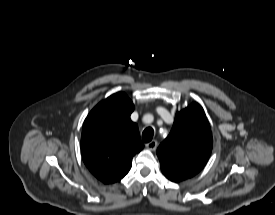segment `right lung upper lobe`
Masks as SVG:
<instances>
[{
    "instance_id": "right-lung-upper-lobe-1",
    "label": "right lung upper lobe",
    "mask_w": 275,
    "mask_h": 215,
    "mask_svg": "<svg viewBox=\"0 0 275 215\" xmlns=\"http://www.w3.org/2000/svg\"><path fill=\"white\" fill-rule=\"evenodd\" d=\"M133 110V102L118 92L94 107L84 121L82 158L105 184L120 181L130 170L133 156L144 147L138 126L130 119Z\"/></svg>"
}]
</instances>
